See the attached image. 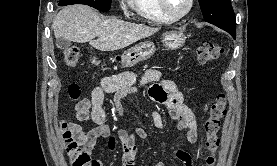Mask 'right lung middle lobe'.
Instances as JSON below:
<instances>
[{"instance_id": "right-lung-middle-lobe-1", "label": "right lung middle lobe", "mask_w": 277, "mask_h": 166, "mask_svg": "<svg viewBox=\"0 0 277 166\" xmlns=\"http://www.w3.org/2000/svg\"><path fill=\"white\" fill-rule=\"evenodd\" d=\"M85 4L101 11H108L111 0H60L59 5Z\"/></svg>"}]
</instances>
